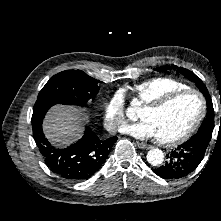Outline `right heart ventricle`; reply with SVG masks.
<instances>
[{"mask_svg":"<svg viewBox=\"0 0 221 221\" xmlns=\"http://www.w3.org/2000/svg\"><path fill=\"white\" fill-rule=\"evenodd\" d=\"M185 88L189 87L174 78L156 77L134 85L130 88V94L133 101L145 105L169 92Z\"/></svg>","mask_w":221,"mask_h":221,"instance_id":"right-heart-ventricle-1","label":"right heart ventricle"}]
</instances>
